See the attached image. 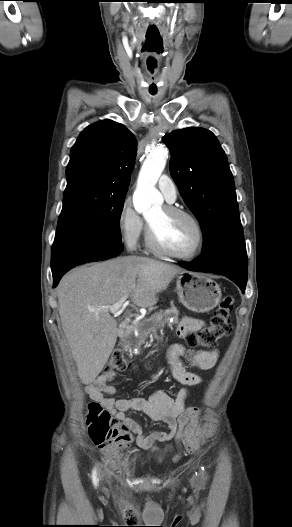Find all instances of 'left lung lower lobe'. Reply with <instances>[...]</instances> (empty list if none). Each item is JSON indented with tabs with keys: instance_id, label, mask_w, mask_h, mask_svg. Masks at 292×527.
<instances>
[{
	"instance_id": "0a47b994",
	"label": "left lung lower lobe",
	"mask_w": 292,
	"mask_h": 527,
	"mask_svg": "<svg viewBox=\"0 0 292 527\" xmlns=\"http://www.w3.org/2000/svg\"><path fill=\"white\" fill-rule=\"evenodd\" d=\"M180 265L191 271L224 275L236 283L242 293L245 292L248 275L245 245L224 247L208 254H202L193 262H180Z\"/></svg>"
}]
</instances>
